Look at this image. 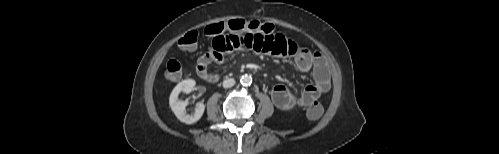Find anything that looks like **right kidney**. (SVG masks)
I'll return each mask as SVG.
<instances>
[{"instance_id": "1", "label": "right kidney", "mask_w": 499, "mask_h": 154, "mask_svg": "<svg viewBox=\"0 0 499 154\" xmlns=\"http://www.w3.org/2000/svg\"><path fill=\"white\" fill-rule=\"evenodd\" d=\"M194 86L195 81L193 79L183 80L173 89L169 98V104L175 116L186 124L197 122L202 117L205 110V105L203 103H198L193 114H186L185 108L188 102L180 101L178 98L181 92L190 93L194 89Z\"/></svg>"}]
</instances>
